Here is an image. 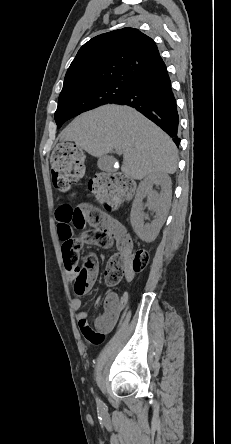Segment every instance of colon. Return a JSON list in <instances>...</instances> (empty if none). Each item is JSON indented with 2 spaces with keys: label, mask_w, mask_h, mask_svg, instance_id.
Returning a JSON list of instances; mask_svg holds the SVG:
<instances>
[{
  "label": "colon",
  "mask_w": 231,
  "mask_h": 444,
  "mask_svg": "<svg viewBox=\"0 0 231 444\" xmlns=\"http://www.w3.org/2000/svg\"><path fill=\"white\" fill-rule=\"evenodd\" d=\"M83 154L81 150L71 144L57 146L51 156V176L54 186L63 193H71L77 185L82 173ZM89 189L96 195L100 203L107 210L116 209L135 190V183L129 177L120 174H101L89 183ZM100 217L98 210L88 212L72 209L67 220L77 229H84L92 225ZM63 261L66 268L76 270L74 291L78 295L86 293L97 273V258L90 254L81 268H77L78 254L72 250H65ZM149 262L146 250H137L133 255L120 250L109 260L105 270V280L111 285H117L126 270L142 271Z\"/></svg>",
  "instance_id": "colon-1"
}]
</instances>
